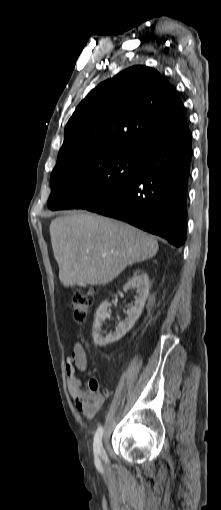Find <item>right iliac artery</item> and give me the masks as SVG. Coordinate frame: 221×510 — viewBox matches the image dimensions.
I'll return each instance as SVG.
<instances>
[{"mask_svg":"<svg viewBox=\"0 0 221 510\" xmlns=\"http://www.w3.org/2000/svg\"><path fill=\"white\" fill-rule=\"evenodd\" d=\"M102 435H103V427L99 426L95 432L93 448H94L95 455H100L105 461H107V455H106V452L102 446Z\"/></svg>","mask_w":221,"mask_h":510,"instance_id":"obj_1","label":"right iliac artery"}]
</instances>
